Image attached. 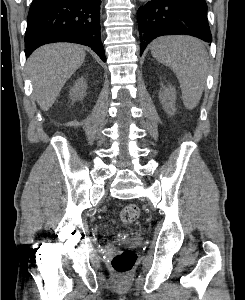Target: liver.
<instances>
[{
  "label": "liver",
  "instance_id": "1",
  "mask_svg": "<svg viewBox=\"0 0 245 300\" xmlns=\"http://www.w3.org/2000/svg\"><path fill=\"white\" fill-rule=\"evenodd\" d=\"M85 51L78 45L55 43L38 48L27 60V72L40 108L50 109L62 87L82 65Z\"/></svg>",
  "mask_w": 245,
  "mask_h": 300
}]
</instances>
